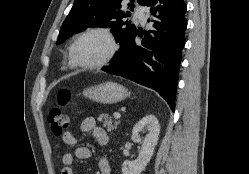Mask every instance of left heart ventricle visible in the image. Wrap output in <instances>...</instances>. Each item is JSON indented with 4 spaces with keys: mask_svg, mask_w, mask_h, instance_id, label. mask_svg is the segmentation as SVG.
I'll return each instance as SVG.
<instances>
[{
    "mask_svg": "<svg viewBox=\"0 0 249 174\" xmlns=\"http://www.w3.org/2000/svg\"><path fill=\"white\" fill-rule=\"evenodd\" d=\"M109 51L107 39L99 33L85 36L78 44L77 55L84 63H96L102 60Z\"/></svg>",
    "mask_w": 249,
    "mask_h": 174,
    "instance_id": "left-heart-ventricle-1",
    "label": "left heart ventricle"
}]
</instances>
